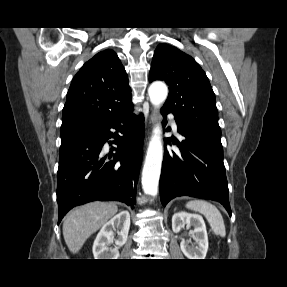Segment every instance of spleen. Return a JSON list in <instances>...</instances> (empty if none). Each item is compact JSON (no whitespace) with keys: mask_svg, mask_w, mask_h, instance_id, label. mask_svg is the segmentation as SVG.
Instances as JSON below:
<instances>
[{"mask_svg":"<svg viewBox=\"0 0 287 287\" xmlns=\"http://www.w3.org/2000/svg\"><path fill=\"white\" fill-rule=\"evenodd\" d=\"M186 207L203 214L209 222L213 232L216 235L225 237L226 231L224 220L216 206L205 200H192L186 204Z\"/></svg>","mask_w":287,"mask_h":287,"instance_id":"spleen-1","label":"spleen"}]
</instances>
